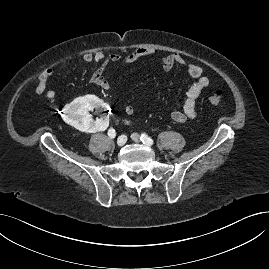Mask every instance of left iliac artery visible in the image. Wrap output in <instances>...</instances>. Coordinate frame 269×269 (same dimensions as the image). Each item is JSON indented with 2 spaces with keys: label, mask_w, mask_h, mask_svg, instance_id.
I'll return each instance as SVG.
<instances>
[{
  "label": "left iliac artery",
  "mask_w": 269,
  "mask_h": 269,
  "mask_svg": "<svg viewBox=\"0 0 269 269\" xmlns=\"http://www.w3.org/2000/svg\"><path fill=\"white\" fill-rule=\"evenodd\" d=\"M141 141L149 146L153 144V140L146 134L141 135Z\"/></svg>",
  "instance_id": "44dca946"
}]
</instances>
